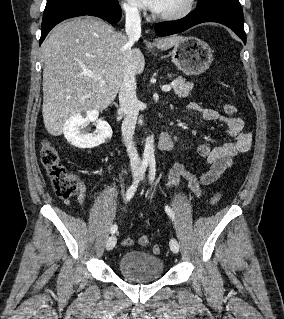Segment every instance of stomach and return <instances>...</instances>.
Returning <instances> with one entry per match:
<instances>
[{"label": "stomach", "instance_id": "obj_1", "mask_svg": "<svg viewBox=\"0 0 284 319\" xmlns=\"http://www.w3.org/2000/svg\"><path fill=\"white\" fill-rule=\"evenodd\" d=\"M209 45L197 37H182L171 52L172 62L187 75H199L209 68L213 61Z\"/></svg>", "mask_w": 284, "mask_h": 319}]
</instances>
